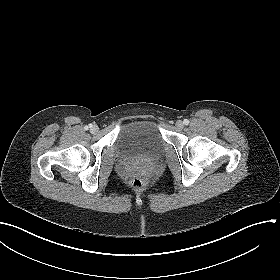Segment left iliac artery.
Segmentation results:
<instances>
[{
  "mask_svg": "<svg viewBox=\"0 0 280 280\" xmlns=\"http://www.w3.org/2000/svg\"><path fill=\"white\" fill-rule=\"evenodd\" d=\"M183 123H184V125H188L189 124V120L188 119H184Z\"/></svg>",
  "mask_w": 280,
  "mask_h": 280,
  "instance_id": "44dca946",
  "label": "left iliac artery"
}]
</instances>
